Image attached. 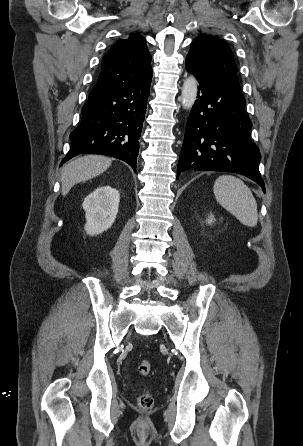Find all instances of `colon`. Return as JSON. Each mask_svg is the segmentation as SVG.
Masks as SVG:
<instances>
[{
	"instance_id": "colon-1",
	"label": "colon",
	"mask_w": 303,
	"mask_h": 446,
	"mask_svg": "<svg viewBox=\"0 0 303 446\" xmlns=\"http://www.w3.org/2000/svg\"><path fill=\"white\" fill-rule=\"evenodd\" d=\"M138 371L143 376L149 375L151 371L150 362L148 360H142L138 365ZM153 404V396L149 393H142L138 398V405L144 410L152 408Z\"/></svg>"
}]
</instances>
